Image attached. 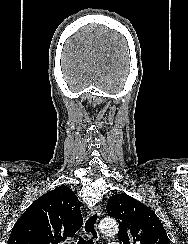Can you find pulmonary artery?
I'll use <instances>...</instances> for the list:
<instances>
[{
	"label": "pulmonary artery",
	"instance_id": "e3ab8cb5",
	"mask_svg": "<svg viewBox=\"0 0 188 244\" xmlns=\"http://www.w3.org/2000/svg\"><path fill=\"white\" fill-rule=\"evenodd\" d=\"M110 244H121V243H119V242H111Z\"/></svg>",
	"mask_w": 188,
	"mask_h": 244
}]
</instances>
